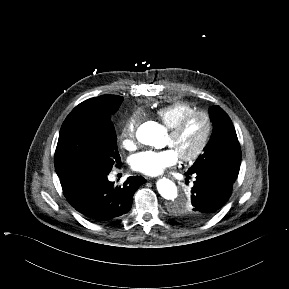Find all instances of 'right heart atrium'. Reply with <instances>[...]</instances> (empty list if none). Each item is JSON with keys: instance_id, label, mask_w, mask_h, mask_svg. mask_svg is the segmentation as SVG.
<instances>
[{"instance_id": "obj_1", "label": "right heart atrium", "mask_w": 289, "mask_h": 289, "mask_svg": "<svg viewBox=\"0 0 289 289\" xmlns=\"http://www.w3.org/2000/svg\"><path fill=\"white\" fill-rule=\"evenodd\" d=\"M137 124H138V118L133 116L127 120V122L125 123L122 129V133H121L122 146L128 150H132L135 147L134 133H135Z\"/></svg>"}]
</instances>
